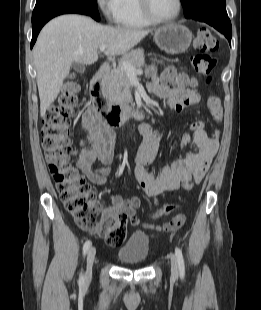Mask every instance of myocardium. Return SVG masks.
<instances>
[{
  "instance_id": "f54148a6",
  "label": "myocardium",
  "mask_w": 261,
  "mask_h": 310,
  "mask_svg": "<svg viewBox=\"0 0 261 310\" xmlns=\"http://www.w3.org/2000/svg\"><path fill=\"white\" fill-rule=\"evenodd\" d=\"M139 1V6L141 9L142 14L144 15V17L150 21L153 24H167V23H171L173 21H175L181 11H182V0H176L177 1V9L176 12L174 13V15H172L169 18H165V19H161V18H157L151 11L150 8V1L149 0H138Z\"/></svg>"
}]
</instances>
